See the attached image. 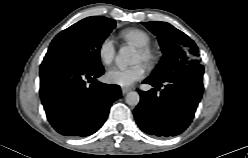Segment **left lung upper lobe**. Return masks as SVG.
I'll return each instance as SVG.
<instances>
[{"label":"left lung upper lobe","instance_id":"obj_1","mask_svg":"<svg viewBox=\"0 0 248 158\" xmlns=\"http://www.w3.org/2000/svg\"><path fill=\"white\" fill-rule=\"evenodd\" d=\"M158 37L163 57L149 76L163 80L175 70L193 63H199V49L185 33L166 22H143Z\"/></svg>","mask_w":248,"mask_h":158}]
</instances>
